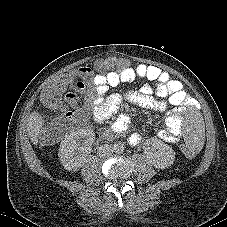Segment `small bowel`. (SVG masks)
<instances>
[{
  "instance_id": "small-bowel-1",
  "label": "small bowel",
  "mask_w": 227,
  "mask_h": 227,
  "mask_svg": "<svg viewBox=\"0 0 227 227\" xmlns=\"http://www.w3.org/2000/svg\"><path fill=\"white\" fill-rule=\"evenodd\" d=\"M112 58L105 59L109 61ZM77 73L84 79H73L69 84L71 91L65 95L67 103L74 109L65 114V119L76 121L81 116V109L90 110L95 123L103 124L116 111L120 100L116 96L104 97L111 87L132 82L139 78L147 79L154 85H144L140 90L128 95L133 104L157 111H167L169 107L179 108L189 103V97L182 83L171 78L168 72L147 64L135 67L126 66L121 71H109L93 75L88 67H80ZM80 95H85L81 100ZM81 106V108H80ZM126 117H118L112 124V133L124 137L129 144L141 143L143 136L139 132H129ZM158 137L165 142L175 143L182 137V118L180 111H171L165 117V128L159 131Z\"/></svg>"
}]
</instances>
